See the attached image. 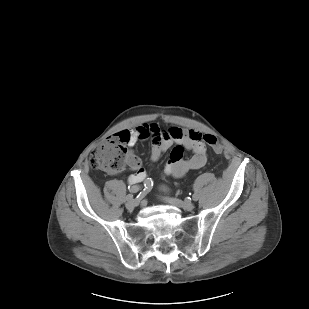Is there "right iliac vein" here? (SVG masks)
Instances as JSON below:
<instances>
[{
	"label": "right iliac vein",
	"mask_w": 309,
	"mask_h": 309,
	"mask_svg": "<svg viewBox=\"0 0 309 309\" xmlns=\"http://www.w3.org/2000/svg\"><path fill=\"white\" fill-rule=\"evenodd\" d=\"M137 205H138V203H134L133 202V199H132V201H127L126 202V204H125V206H126V208L128 209V210H133L135 207H137Z\"/></svg>",
	"instance_id": "1"
}]
</instances>
